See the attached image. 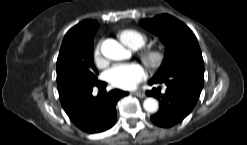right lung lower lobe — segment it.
<instances>
[{"instance_id": "right-lung-lower-lobe-1", "label": "right lung lower lobe", "mask_w": 247, "mask_h": 145, "mask_svg": "<svg viewBox=\"0 0 247 145\" xmlns=\"http://www.w3.org/2000/svg\"><path fill=\"white\" fill-rule=\"evenodd\" d=\"M95 86L100 89L96 97L92 95ZM105 87V82L97 81L91 85H78L59 94L65 112L81 130L98 133L114 125L117 118L116 103L128 92L115 89L103 93Z\"/></svg>"}]
</instances>
